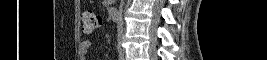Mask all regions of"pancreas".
Wrapping results in <instances>:
<instances>
[{
  "mask_svg": "<svg viewBox=\"0 0 267 60\" xmlns=\"http://www.w3.org/2000/svg\"><path fill=\"white\" fill-rule=\"evenodd\" d=\"M104 2L107 4V5H110L112 0H104Z\"/></svg>",
  "mask_w": 267,
  "mask_h": 60,
  "instance_id": "cf45deb5",
  "label": "pancreas"
}]
</instances>
